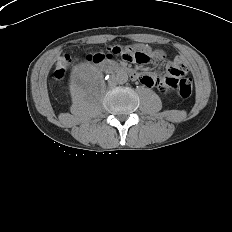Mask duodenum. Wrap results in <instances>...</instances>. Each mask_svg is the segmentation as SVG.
Wrapping results in <instances>:
<instances>
[{"mask_svg":"<svg viewBox=\"0 0 232 232\" xmlns=\"http://www.w3.org/2000/svg\"><path fill=\"white\" fill-rule=\"evenodd\" d=\"M106 66L103 68L102 72L106 70ZM108 74L114 75V74H127L129 75L132 79H137L138 78V73L126 66H115V65H110L108 69Z\"/></svg>","mask_w":232,"mask_h":232,"instance_id":"1","label":"duodenum"}]
</instances>
